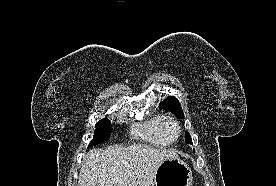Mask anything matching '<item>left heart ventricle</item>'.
Segmentation results:
<instances>
[{"instance_id": "left-heart-ventricle-1", "label": "left heart ventricle", "mask_w": 276, "mask_h": 186, "mask_svg": "<svg viewBox=\"0 0 276 186\" xmlns=\"http://www.w3.org/2000/svg\"><path fill=\"white\" fill-rule=\"evenodd\" d=\"M167 132H168V135L171 137V138H175L176 137V129L173 127V126H169L167 128Z\"/></svg>"}]
</instances>
